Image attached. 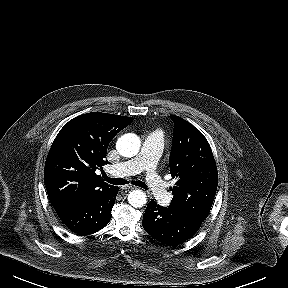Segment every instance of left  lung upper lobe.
<instances>
[{
  "instance_id": "5c2ea615",
  "label": "left lung upper lobe",
  "mask_w": 288,
  "mask_h": 288,
  "mask_svg": "<svg viewBox=\"0 0 288 288\" xmlns=\"http://www.w3.org/2000/svg\"><path fill=\"white\" fill-rule=\"evenodd\" d=\"M174 122L170 154V174L176 178L171 188L170 208L204 221L218 184V172L211 147L204 135L188 121L171 115Z\"/></svg>"
}]
</instances>
